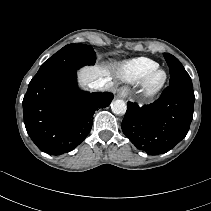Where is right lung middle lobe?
Instances as JSON below:
<instances>
[{
    "label": "right lung middle lobe",
    "instance_id": "dd1d6c3e",
    "mask_svg": "<svg viewBox=\"0 0 211 211\" xmlns=\"http://www.w3.org/2000/svg\"><path fill=\"white\" fill-rule=\"evenodd\" d=\"M95 61L96 55L90 46L69 44L46 60L37 74L65 69L77 70L84 65H94Z\"/></svg>",
    "mask_w": 211,
    "mask_h": 211
}]
</instances>
